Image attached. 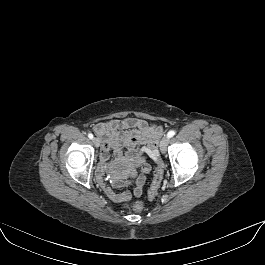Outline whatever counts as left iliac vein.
<instances>
[{
    "mask_svg": "<svg viewBox=\"0 0 265 265\" xmlns=\"http://www.w3.org/2000/svg\"><path fill=\"white\" fill-rule=\"evenodd\" d=\"M169 144V138L167 136H164L160 141V150L162 153H165L167 150V146Z\"/></svg>",
    "mask_w": 265,
    "mask_h": 265,
    "instance_id": "1",
    "label": "left iliac vein"
}]
</instances>
